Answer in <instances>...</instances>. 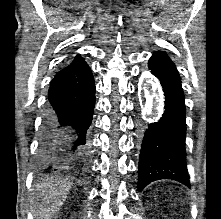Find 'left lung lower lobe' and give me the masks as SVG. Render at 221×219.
<instances>
[{
	"instance_id": "0a47b994",
	"label": "left lung lower lobe",
	"mask_w": 221,
	"mask_h": 219,
	"mask_svg": "<svg viewBox=\"0 0 221 219\" xmlns=\"http://www.w3.org/2000/svg\"><path fill=\"white\" fill-rule=\"evenodd\" d=\"M151 73L162 85L164 113L145 132L138 167V190L159 179H172L190 187L186 166V122L184 93L179 73L163 52H155L148 62Z\"/></svg>"
}]
</instances>
